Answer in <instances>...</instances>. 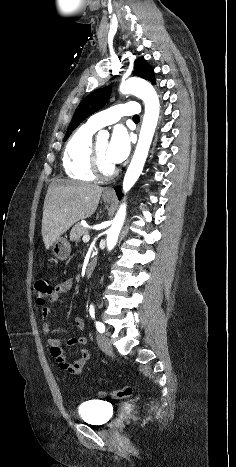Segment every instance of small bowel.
Masks as SVG:
<instances>
[{
    "mask_svg": "<svg viewBox=\"0 0 236 467\" xmlns=\"http://www.w3.org/2000/svg\"><path fill=\"white\" fill-rule=\"evenodd\" d=\"M73 286L72 279H65L55 286L53 289L50 301L53 303H62L63 295L68 293ZM51 310L47 306H43L41 310V322L42 329L45 334L50 333V320ZM76 326L83 330L85 327L84 319L77 317L75 320ZM86 337L84 335H79L76 337H70L67 339V344L69 346H81L79 349V356L72 362H68L67 353L62 349V339L58 337H51L47 339V344L50 349V354L53 357L57 368L63 372L70 375H79L81 374L83 368L91 359V351L84 348L86 344Z\"/></svg>",
    "mask_w": 236,
    "mask_h": 467,
    "instance_id": "obj_1",
    "label": "small bowel"
}]
</instances>
